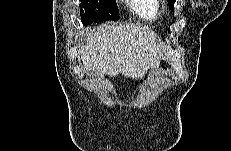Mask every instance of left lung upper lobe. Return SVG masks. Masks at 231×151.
<instances>
[{
	"instance_id": "5c2ea615",
	"label": "left lung upper lobe",
	"mask_w": 231,
	"mask_h": 151,
	"mask_svg": "<svg viewBox=\"0 0 231 151\" xmlns=\"http://www.w3.org/2000/svg\"><path fill=\"white\" fill-rule=\"evenodd\" d=\"M176 0H167L169 8L171 9V11H174V3Z\"/></svg>"
}]
</instances>
